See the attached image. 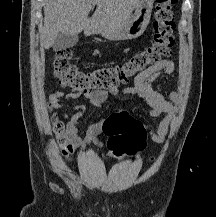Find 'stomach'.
Returning <instances> with one entry per match:
<instances>
[{
    "label": "stomach",
    "instance_id": "obj_1",
    "mask_svg": "<svg viewBox=\"0 0 216 217\" xmlns=\"http://www.w3.org/2000/svg\"><path fill=\"white\" fill-rule=\"evenodd\" d=\"M155 0H139L135 13L113 31L103 34L111 40H127L140 37L149 24Z\"/></svg>",
    "mask_w": 216,
    "mask_h": 217
}]
</instances>
